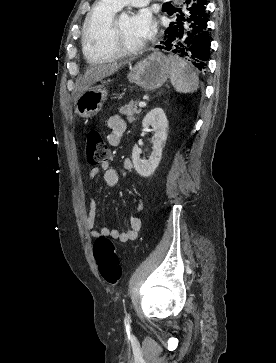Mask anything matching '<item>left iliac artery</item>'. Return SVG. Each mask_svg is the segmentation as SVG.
I'll use <instances>...</instances> for the list:
<instances>
[{
	"mask_svg": "<svg viewBox=\"0 0 276 363\" xmlns=\"http://www.w3.org/2000/svg\"><path fill=\"white\" fill-rule=\"evenodd\" d=\"M126 317H127V318H129V315H128V314H126Z\"/></svg>",
	"mask_w": 276,
	"mask_h": 363,
	"instance_id": "44dca946",
	"label": "left iliac artery"
}]
</instances>
